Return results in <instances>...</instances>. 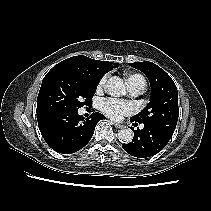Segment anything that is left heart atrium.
I'll return each instance as SVG.
<instances>
[{
    "mask_svg": "<svg viewBox=\"0 0 211 211\" xmlns=\"http://www.w3.org/2000/svg\"><path fill=\"white\" fill-rule=\"evenodd\" d=\"M100 108L104 114L115 120H118L125 115H130L135 110L133 103L114 98L103 99L100 103Z\"/></svg>",
    "mask_w": 211,
    "mask_h": 211,
    "instance_id": "39dd6f15",
    "label": "left heart atrium"
}]
</instances>
